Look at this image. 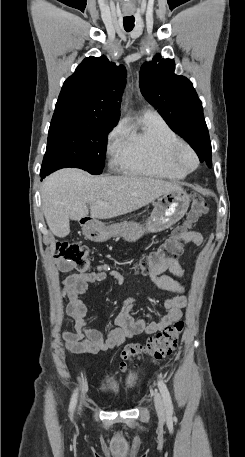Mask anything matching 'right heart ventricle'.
<instances>
[{
    "label": "right heart ventricle",
    "instance_id": "e07e8e85",
    "mask_svg": "<svg viewBox=\"0 0 245 457\" xmlns=\"http://www.w3.org/2000/svg\"><path fill=\"white\" fill-rule=\"evenodd\" d=\"M180 140L177 133L159 115H144V118L124 128L121 145L112 150L115 160L127 167L159 178L183 179L186 174L159 165L156 151L164 150Z\"/></svg>",
    "mask_w": 245,
    "mask_h": 457
}]
</instances>
